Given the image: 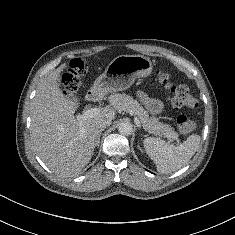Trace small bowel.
Wrapping results in <instances>:
<instances>
[{
  "label": "small bowel",
  "instance_id": "small-bowel-1",
  "mask_svg": "<svg viewBox=\"0 0 235 235\" xmlns=\"http://www.w3.org/2000/svg\"><path fill=\"white\" fill-rule=\"evenodd\" d=\"M138 97L150 112L161 113L163 111V104L159 100L150 98L143 92H139Z\"/></svg>",
  "mask_w": 235,
  "mask_h": 235
}]
</instances>
